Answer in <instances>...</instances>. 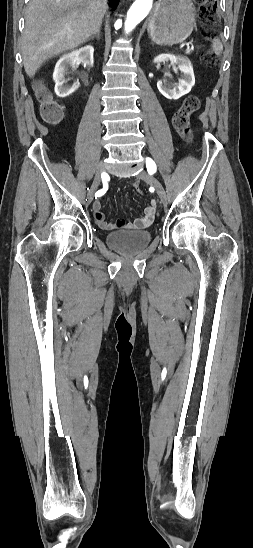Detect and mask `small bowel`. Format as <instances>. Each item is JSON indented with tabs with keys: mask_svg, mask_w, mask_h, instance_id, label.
I'll return each mask as SVG.
<instances>
[{
	"mask_svg": "<svg viewBox=\"0 0 253 548\" xmlns=\"http://www.w3.org/2000/svg\"><path fill=\"white\" fill-rule=\"evenodd\" d=\"M94 217L100 227L106 230L112 229H144L148 227L155 216L156 212V201L152 200L150 204L145 208L144 215L140 218L135 219L133 222H127L123 219H119L116 222H109L105 218V214L102 211V204L99 200L95 201L93 204Z\"/></svg>",
	"mask_w": 253,
	"mask_h": 548,
	"instance_id": "obj_1",
	"label": "small bowel"
}]
</instances>
